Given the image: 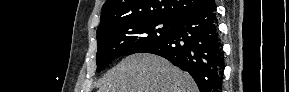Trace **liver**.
Masks as SVG:
<instances>
[{"instance_id": "liver-1", "label": "liver", "mask_w": 289, "mask_h": 92, "mask_svg": "<svg viewBox=\"0 0 289 92\" xmlns=\"http://www.w3.org/2000/svg\"><path fill=\"white\" fill-rule=\"evenodd\" d=\"M99 92H198V88L188 73L166 59L137 53L106 73Z\"/></svg>"}]
</instances>
